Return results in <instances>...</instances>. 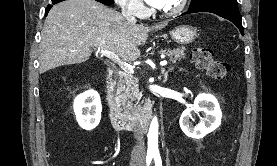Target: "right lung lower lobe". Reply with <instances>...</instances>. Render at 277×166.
<instances>
[{"instance_id": "1", "label": "right lung lower lobe", "mask_w": 277, "mask_h": 166, "mask_svg": "<svg viewBox=\"0 0 277 166\" xmlns=\"http://www.w3.org/2000/svg\"><path fill=\"white\" fill-rule=\"evenodd\" d=\"M62 1H64V0H51L52 4H57V3L62 2ZM96 1L101 2V3L105 4V5H111V4L114 3L113 0H96ZM52 6L53 5H48V7L46 9V15L49 12V10L52 8Z\"/></svg>"}]
</instances>
